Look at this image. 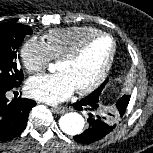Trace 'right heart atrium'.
Listing matches in <instances>:
<instances>
[{
    "label": "right heart atrium",
    "mask_w": 153,
    "mask_h": 153,
    "mask_svg": "<svg viewBox=\"0 0 153 153\" xmlns=\"http://www.w3.org/2000/svg\"><path fill=\"white\" fill-rule=\"evenodd\" d=\"M20 58L24 68L35 73L44 70L52 57L43 41L30 38L21 46Z\"/></svg>",
    "instance_id": "right-heart-atrium-1"
}]
</instances>
